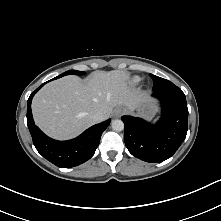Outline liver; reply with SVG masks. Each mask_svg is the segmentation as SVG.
<instances>
[{
  "label": "liver",
  "mask_w": 221,
  "mask_h": 221,
  "mask_svg": "<svg viewBox=\"0 0 221 221\" xmlns=\"http://www.w3.org/2000/svg\"><path fill=\"white\" fill-rule=\"evenodd\" d=\"M144 95L130 87L129 74L121 70L96 71L85 80L66 76L45 85L33 98L36 125L48 136L73 138L94 125L92 115L110 117L116 106L137 108Z\"/></svg>",
  "instance_id": "6515ba94"
}]
</instances>
